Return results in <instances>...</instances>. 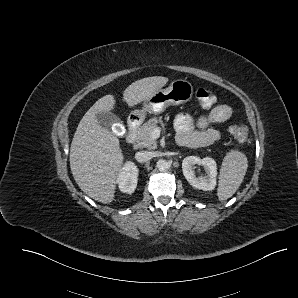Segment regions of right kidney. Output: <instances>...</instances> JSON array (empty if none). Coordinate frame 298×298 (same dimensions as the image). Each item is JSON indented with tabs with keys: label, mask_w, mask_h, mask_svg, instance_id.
Segmentation results:
<instances>
[{
	"label": "right kidney",
	"mask_w": 298,
	"mask_h": 298,
	"mask_svg": "<svg viewBox=\"0 0 298 298\" xmlns=\"http://www.w3.org/2000/svg\"><path fill=\"white\" fill-rule=\"evenodd\" d=\"M138 173L139 170L135 163L126 161L117 179L121 192L132 194L135 191L137 187Z\"/></svg>",
	"instance_id": "1"
}]
</instances>
